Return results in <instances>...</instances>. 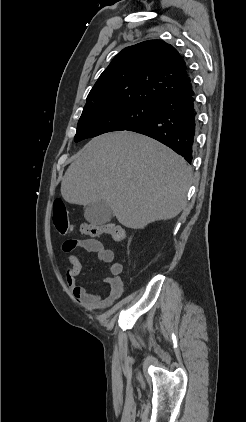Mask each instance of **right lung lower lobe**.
Masks as SVG:
<instances>
[{
	"label": "right lung lower lobe",
	"mask_w": 246,
	"mask_h": 422,
	"mask_svg": "<svg viewBox=\"0 0 246 422\" xmlns=\"http://www.w3.org/2000/svg\"><path fill=\"white\" fill-rule=\"evenodd\" d=\"M196 128L195 95L191 88L159 102L154 117L129 128L128 131L158 140L191 163Z\"/></svg>",
	"instance_id": "1"
}]
</instances>
